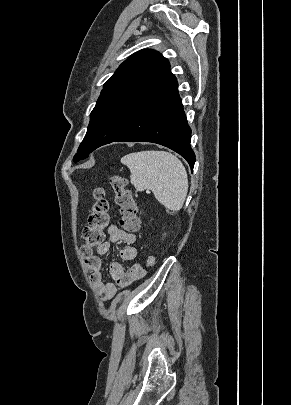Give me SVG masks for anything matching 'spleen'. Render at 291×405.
<instances>
[{
	"mask_svg": "<svg viewBox=\"0 0 291 405\" xmlns=\"http://www.w3.org/2000/svg\"><path fill=\"white\" fill-rule=\"evenodd\" d=\"M131 172L137 191L152 190L158 202L168 210L182 208L188 192V177L182 162L165 151H141L121 158Z\"/></svg>",
	"mask_w": 291,
	"mask_h": 405,
	"instance_id": "obj_1",
	"label": "spleen"
}]
</instances>
